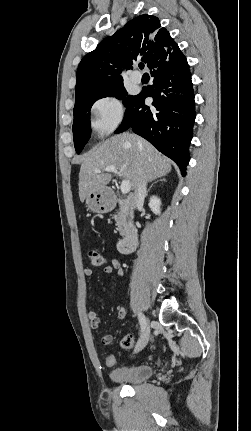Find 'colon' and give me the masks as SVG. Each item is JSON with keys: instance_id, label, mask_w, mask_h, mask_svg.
Listing matches in <instances>:
<instances>
[{"instance_id": "obj_1", "label": "colon", "mask_w": 251, "mask_h": 431, "mask_svg": "<svg viewBox=\"0 0 251 431\" xmlns=\"http://www.w3.org/2000/svg\"><path fill=\"white\" fill-rule=\"evenodd\" d=\"M88 258L90 263L95 267L104 266L106 263L105 256L96 249L88 250ZM135 345L134 339L132 336H125L121 341V350L127 351L129 348H132ZM154 347V346H153ZM118 355L116 353L107 352L104 355V363L106 364L107 369H114L115 365L119 364Z\"/></svg>"}]
</instances>
